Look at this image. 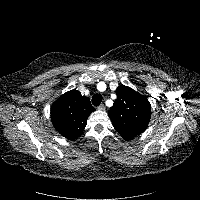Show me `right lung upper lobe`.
Returning a JSON list of instances; mask_svg holds the SVG:
<instances>
[{
  "mask_svg": "<svg viewBox=\"0 0 200 200\" xmlns=\"http://www.w3.org/2000/svg\"><path fill=\"white\" fill-rule=\"evenodd\" d=\"M95 108L88 97L71 90L58 98L51 107V119L55 129L65 138L74 140L83 132L87 118Z\"/></svg>",
  "mask_w": 200,
  "mask_h": 200,
  "instance_id": "1",
  "label": "right lung upper lobe"
}]
</instances>
